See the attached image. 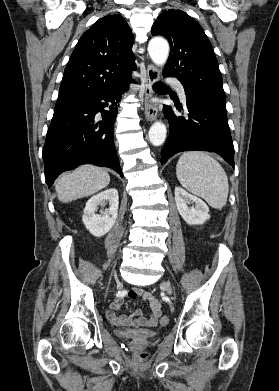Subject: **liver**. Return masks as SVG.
I'll return each instance as SVG.
<instances>
[{
	"label": "liver",
	"instance_id": "liver-1",
	"mask_svg": "<svg viewBox=\"0 0 279 391\" xmlns=\"http://www.w3.org/2000/svg\"><path fill=\"white\" fill-rule=\"evenodd\" d=\"M110 183L109 174L94 165H82L72 173L61 176L55 185L59 201H70L90 196Z\"/></svg>",
	"mask_w": 279,
	"mask_h": 391
}]
</instances>
